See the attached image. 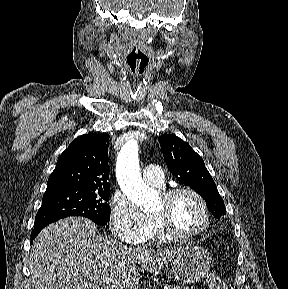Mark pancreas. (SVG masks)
<instances>
[{"instance_id": "pancreas-1", "label": "pancreas", "mask_w": 288, "mask_h": 289, "mask_svg": "<svg viewBox=\"0 0 288 289\" xmlns=\"http://www.w3.org/2000/svg\"><path fill=\"white\" fill-rule=\"evenodd\" d=\"M167 289H195V288H188L187 286H175V285H168Z\"/></svg>"}]
</instances>
